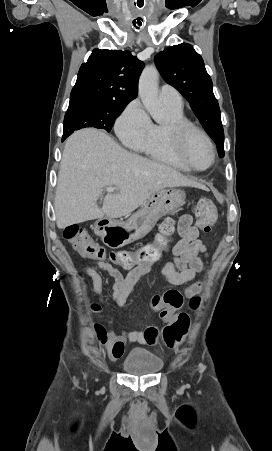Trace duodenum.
Masks as SVG:
<instances>
[{"mask_svg": "<svg viewBox=\"0 0 272 451\" xmlns=\"http://www.w3.org/2000/svg\"><path fill=\"white\" fill-rule=\"evenodd\" d=\"M98 229L100 230V232H103V229H104L103 223H100L98 225Z\"/></svg>", "mask_w": 272, "mask_h": 451, "instance_id": "obj_1", "label": "duodenum"}]
</instances>
